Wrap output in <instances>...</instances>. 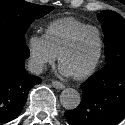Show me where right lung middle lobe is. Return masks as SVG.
<instances>
[{
  "mask_svg": "<svg viewBox=\"0 0 125 125\" xmlns=\"http://www.w3.org/2000/svg\"><path fill=\"white\" fill-rule=\"evenodd\" d=\"M53 9L24 0H0V36L25 43V33L30 24Z\"/></svg>",
  "mask_w": 125,
  "mask_h": 125,
  "instance_id": "right-lung-middle-lobe-1",
  "label": "right lung middle lobe"
}]
</instances>
